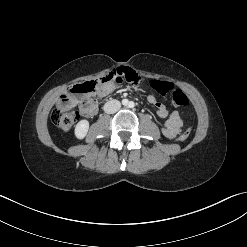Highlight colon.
Segmentation results:
<instances>
[{
  "label": "colon",
  "instance_id": "1",
  "mask_svg": "<svg viewBox=\"0 0 247 247\" xmlns=\"http://www.w3.org/2000/svg\"><path fill=\"white\" fill-rule=\"evenodd\" d=\"M126 79L136 84L140 82V78L137 75L129 74ZM113 80L117 81L118 77L114 72H111L100 78L99 81H88L73 86L68 94L61 96L58 106L53 110L51 114L53 124L63 131L69 130L79 118V111L75 108V96L86 95L88 98L85 99L84 102L92 104L95 101L91 96L96 93L103 84ZM150 86L160 95L169 96L175 106L183 107L189 103L186 94L176 89L174 85L169 82L153 80L150 82ZM189 135L190 130L187 129L178 136V139L185 141Z\"/></svg>",
  "mask_w": 247,
  "mask_h": 247
}]
</instances>
